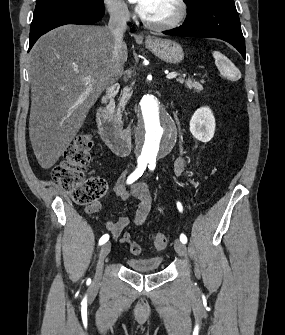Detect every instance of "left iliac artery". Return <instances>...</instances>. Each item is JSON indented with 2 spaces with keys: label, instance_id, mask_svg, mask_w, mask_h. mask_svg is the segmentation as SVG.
Listing matches in <instances>:
<instances>
[{
  "label": "left iliac artery",
  "instance_id": "left-iliac-artery-1",
  "mask_svg": "<svg viewBox=\"0 0 285 335\" xmlns=\"http://www.w3.org/2000/svg\"><path fill=\"white\" fill-rule=\"evenodd\" d=\"M155 166H156V160L155 159L149 160V165H148L149 169L154 170ZM177 207L179 211L182 212L183 208L180 202L177 203ZM180 241L184 244L187 243V237L184 234H181Z\"/></svg>",
  "mask_w": 285,
  "mask_h": 335
}]
</instances>
